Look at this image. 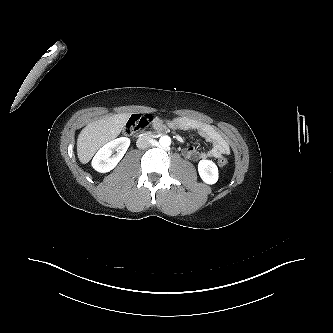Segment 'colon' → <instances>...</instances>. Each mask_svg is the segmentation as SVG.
<instances>
[{"mask_svg":"<svg viewBox=\"0 0 333 333\" xmlns=\"http://www.w3.org/2000/svg\"><path fill=\"white\" fill-rule=\"evenodd\" d=\"M153 119L154 118L149 114L132 115L123 130L124 135H132L139 129L147 127L153 122ZM217 162L221 167H224L228 164V160L225 156H220Z\"/></svg>","mask_w":333,"mask_h":333,"instance_id":"obj_1","label":"colon"}]
</instances>
